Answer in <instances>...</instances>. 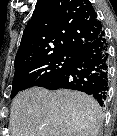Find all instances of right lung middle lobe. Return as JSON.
Here are the masks:
<instances>
[{
  "instance_id": "obj_1",
  "label": "right lung middle lobe",
  "mask_w": 117,
  "mask_h": 136,
  "mask_svg": "<svg viewBox=\"0 0 117 136\" xmlns=\"http://www.w3.org/2000/svg\"><path fill=\"white\" fill-rule=\"evenodd\" d=\"M75 56L76 53L64 51L36 59L16 68L12 82L11 98H14L20 91L38 86L46 81L61 71Z\"/></svg>"
}]
</instances>
